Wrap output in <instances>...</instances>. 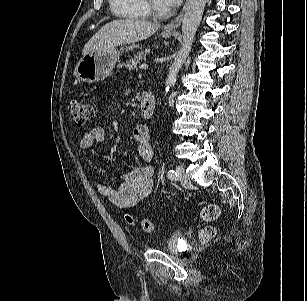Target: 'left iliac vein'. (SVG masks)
<instances>
[{"label": "left iliac vein", "mask_w": 307, "mask_h": 301, "mask_svg": "<svg viewBox=\"0 0 307 301\" xmlns=\"http://www.w3.org/2000/svg\"><path fill=\"white\" fill-rule=\"evenodd\" d=\"M176 171L178 173V178H179V181L180 183L183 185V186H189L191 184V181L186 173V170L183 166L179 165L177 166L176 168Z\"/></svg>", "instance_id": "1"}]
</instances>
